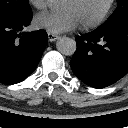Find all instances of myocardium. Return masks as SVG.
<instances>
[{
    "label": "myocardium",
    "mask_w": 128,
    "mask_h": 128,
    "mask_svg": "<svg viewBox=\"0 0 128 128\" xmlns=\"http://www.w3.org/2000/svg\"><path fill=\"white\" fill-rule=\"evenodd\" d=\"M115 2H116V0H108V3L106 5V7L104 8V10L102 11V13L95 20H93L89 23L80 24L81 28L83 30H90V29H94V28H97L98 26H100L106 20V18L109 16L110 12L112 11V9L115 5Z\"/></svg>",
    "instance_id": "f54148a6"
}]
</instances>
